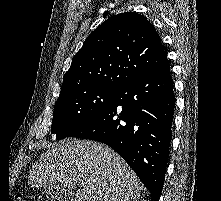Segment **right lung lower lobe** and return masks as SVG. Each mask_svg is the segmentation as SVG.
Returning <instances> with one entry per match:
<instances>
[{
  "instance_id": "1",
  "label": "right lung lower lobe",
  "mask_w": 221,
  "mask_h": 201,
  "mask_svg": "<svg viewBox=\"0 0 221 201\" xmlns=\"http://www.w3.org/2000/svg\"><path fill=\"white\" fill-rule=\"evenodd\" d=\"M175 96L169 61L116 89L111 103L67 137L103 142L134 170L152 201L165 178Z\"/></svg>"
}]
</instances>
